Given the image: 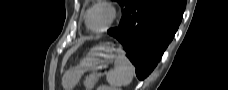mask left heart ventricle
<instances>
[{
  "instance_id": "left-heart-ventricle-1",
  "label": "left heart ventricle",
  "mask_w": 228,
  "mask_h": 90,
  "mask_svg": "<svg viewBox=\"0 0 228 90\" xmlns=\"http://www.w3.org/2000/svg\"><path fill=\"white\" fill-rule=\"evenodd\" d=\"M109 11L104 7L94 8L89 16V25L93 30L103 28L109 19Z\"/></svg>"
}]
</instances>
